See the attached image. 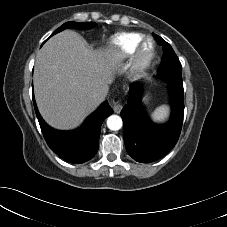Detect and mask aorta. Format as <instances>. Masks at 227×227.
Masks as SVG:
<instances>
[{
    "label": "aorta",
    "mask_w": 227,
    "mask_h": 227,
    "mask_svg": "<svg viewBox=\"0 0 227 227\" xmlns=\"http://www.w3.org/2000/svg\"><path fill=\"white\" fill-rule=\"evenodd\" d=\"M122 125H123L122 119L118 115H111L107 119V127L110 130L117 131L121 129Z\"/></svg>",
    "instance_id": "762f6f07"
}]
</instances>
